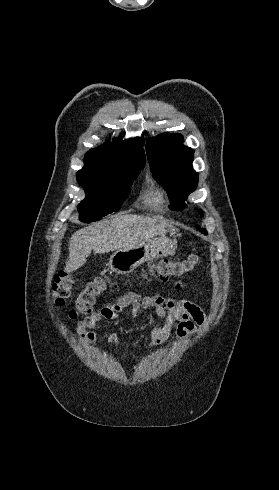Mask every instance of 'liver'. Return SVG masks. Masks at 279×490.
I'll list each match as a JSON object with an SVG mask.
<instances>
[{
  "instance_id": "obj_1",
  "label": "liver",
  "mask_w": 279,
  "mask_h": 490,
  "mask_svg": "<svg viewBox=\"0 0 279 490\" xmlns=\"http://www.w3.org/2000/svg\"><path fill=\"white\" fill-rule=\"evenodd\" d=\"M176 230L165 220H154L146 216H113L112 220H103L87 228L74 232L70 238L69 256L64 268L66 274L75 272L86 262L91 252L106 254L114 250L132 248L154 236H163Z\"/></svg>"
}]
</instances>
